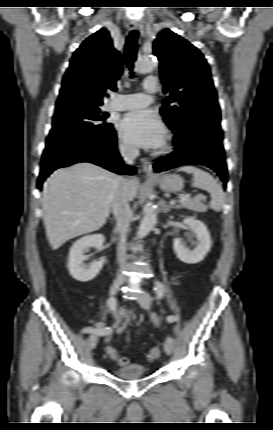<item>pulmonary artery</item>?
<instances>
[{
    "label": "pulmonary artery",
    "mask_w": 273,
    "mask_h": 430,
    "mask_svg": "<svg viewBox=\"0 0 273 430\" xmlns=\"http://www.w3.org/2000/svg\"><path fill=\"white\" fill-rule=\"evenodd\" d=\"M144 93L122 95L113 98L107 108L110 110H135L148 106L152 102L151 94L158 91L155 78H147L144 82Z\"/></svg>",
    "instance_id": "obj_1"
}]
</instances>
